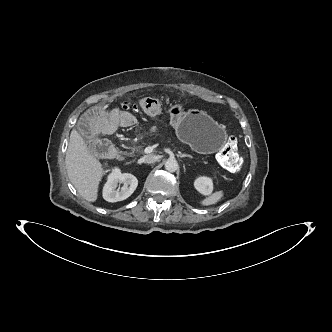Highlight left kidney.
<instances>
[{
	"mask_svg": "<svg viewBox=\"0 0 332 332\" xmlns=\"http://www.w3.org/2000/svg\"><path fill=\"white\" fill-rule=\"evenodd\" d=\"M194 187L197 191L204 195L210 194L213 190L212 179L209 177L201 176L195 180Z\"/></svg>",
	"mask_w": 332,
	"mask_h": 332,
	"instance_id": "left-kidney-1",
	"label": "left kidney"
}]
</instances>
